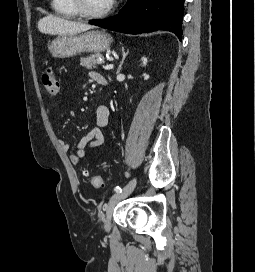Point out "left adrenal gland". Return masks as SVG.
Returning a JSON list of instances; mask_svg holds the SVG:
<instances>
[{
  "label": "left adrenal gland",
  "mask_w": 255,
  "mask_h": 272,
  "mask_svg": "<svg viewBox=\"0 0 255 272\" xmlns=\"http://www.w3.org/2000/svg\"><path fill=\"white\" fill-rule=\"evenodd\" d=\"M127 55H128V51L125 52V48L122 47V60H121L120 65L118 67L117 74L120 73V70L122 68L123 62H124L125 58L127 57Z\"/></svg>",
  "instance_id": "obj_1"
}]
</instances>
